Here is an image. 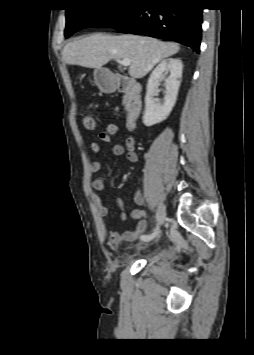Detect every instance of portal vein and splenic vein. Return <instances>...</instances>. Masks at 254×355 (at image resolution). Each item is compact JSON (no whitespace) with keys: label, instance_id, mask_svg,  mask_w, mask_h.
I'll return each instance as SVG.
<instances>
[{"label":"portal vein and splenic vein","instance_id":"obj_1","mask_svg":"<svg viewBox=\"0 0 254 355\" xmlns=\"http://www.w3.org/2000/svg\"><path fill=\"white\" fill-rule=\"evenodd\" d=\"M116 61L124 67H128L131 64L129 59H116Z\"/></svg>","mask_w":254,"mask_h":355}]
</instances>
